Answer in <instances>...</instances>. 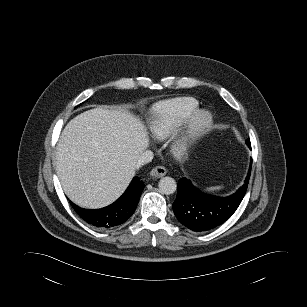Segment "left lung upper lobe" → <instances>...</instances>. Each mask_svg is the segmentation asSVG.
<instances>
[{"label":"left lung upper lobe","mask_w":307,"mask_h":307,"mask_svg":"<svg viewBox=\"0 0 307 307\" xmlns=\"http://www.w3.org/2000/svg\"><path fill=\"white\" fill-rule=\"evenodd\" d=\"M246 143H247V144H250V140L248 139Z\"/></svg>","instance_id":"5c2ea615"}]
</instances>
